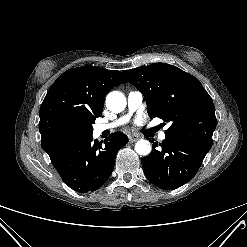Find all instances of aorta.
Here are the masks:
<instances>
[{
	"label": "aorta",
	"instance_id": "1",
	"mask_svg": "<svg viewBox=\"0 0 247 247\" xmlns=\"http://www.w3.org/2000/svg\"><path fill=\"white\" fill-rule=\"evenodd\" d=\"M106 106L114 113L123 111L126 107V98L124 94L119 91L110 92L106 97ZM151 149V144L148 140L141 139L135 144V151L142 156L149 155Z\"/></svg>",
	"mask_w": 247,
	"mask_h": 247
}]
</instances>
